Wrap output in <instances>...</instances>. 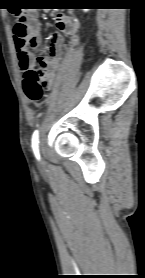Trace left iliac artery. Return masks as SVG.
<instances>
[{
	"label": "left iliac artery",
	"instance_id": "44dca946",
	"mask_svg": "<svg viewBox=\"0 0 145 278\" xmlns=\"http://www.w3.org/2000/svg\"><path fill=\"white\" fill-rule=\"evenodd\" d=\"M31 143H32V149L33 152L35 154V157L39 160L40 159V155H39V134H38V130H36L33 135H32V139H31Z\"/></svg>",
	"mask_w": 145,
	"mask_h": 278
}]
</instances>
